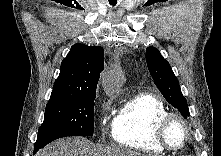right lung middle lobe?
Here are the masks:
<instances>
[{"instance_id": "right-lung-middle-lobe-1", "label": "right lung middle lobe", "mask_w": 221, "mask_h": 156, "mask_svg": "<svg viewBox=\"0 0 221 156\" xmlns=\"http://www.w3.org/2000/svg\"><path fill=\"white\" fill-rule=\"evenodd\" d=\"M95 96L96 93H91L73 99L49 100L34 152L61 137L92 136Z\"/></svg>"}]
</instances>
